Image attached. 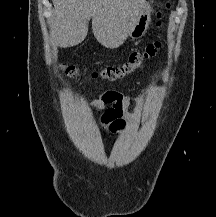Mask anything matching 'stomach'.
<instances>
[{
  "label": "stomach",
  "mask_w": 216,
  "mask_h": 217,
  "mask_svg": "<svg viewBox=\"0 0 216 217\" xmlns=\"http://www.w3.org/2000/svg\"><path fill=\"white\" fill-rule=\"evenodd\" d=\"M151 6L150 3H145L144 8L139 15V18L134 23L132 29L129 31L128 36L135 39H140L144 36L147 31V28L151 22Z\"/></svg>",
  "instance_id": "stomach-1"
}]
</instances>
